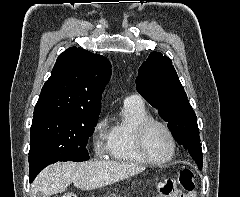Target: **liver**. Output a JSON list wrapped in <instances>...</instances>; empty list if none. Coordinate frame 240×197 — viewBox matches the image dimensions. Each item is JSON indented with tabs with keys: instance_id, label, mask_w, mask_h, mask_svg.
<instances>
[{
	"instance_id": "liver-1",
	"label": "liver",
	"mask_w": 240,
	"mask_h": 197,
	"mask_svg": "<svg viewBox=\"0 0 240 197\" xmlns=\"http://www.w3.org/2000/svg\"><path fill=\"white\" fill-rule=\"evenodd\" d=\"M145 170L138 164L112 161L59 162L45 168L31 186L32 197L43 193L49 197L66 191L73 183L76 188L94 190L113 184Z\"/></svg>"
}]
</instances>
